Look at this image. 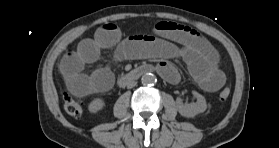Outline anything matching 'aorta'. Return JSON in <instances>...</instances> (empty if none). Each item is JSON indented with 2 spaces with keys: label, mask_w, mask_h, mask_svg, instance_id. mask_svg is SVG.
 Segmentation results:
<instances>
[{
  "label": "aorta",
  "mask_w": 279,
  "mask_h": 148,
  "mask_svg": "<svg viewBox=\"0 0 279 148\" xmlns=\"http://www.w3.org/2000/svg\"><path fill=\"white\" fill-rule=\"evenodd\" d=\"M141 82L144 85H154L157 82V78L152 73H146L142 76Z\"/></svg>",
  "instance_id": "aorta-1"
}]
</instances>
